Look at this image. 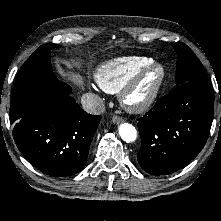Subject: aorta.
<instances>
[{
  "mask_svg": "<svg viewBox=\"0 0 221 221\" xmlns=\"http://www.w3.org/2000/svg\"><path fill=\"white\" fill-rule=\"evenodd\" d=\"M119 135L127 143L133 142L136 140L137 131L132 124L122 123L119 126Z\"/></svg>",
  "mask_w": 221,
  "mask_h": 221,
  "instance_id": "762f6f07",
  "label": "aorta"
}]
</instances>
